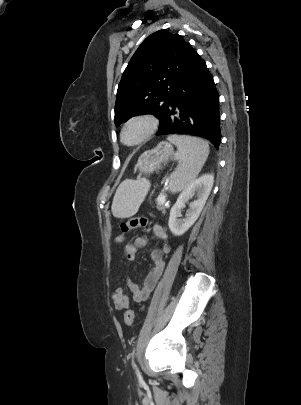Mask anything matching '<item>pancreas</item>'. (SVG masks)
<instances>
[{
    "label": "pancreas",
    "instance_id": "obj_1",
    "mask_svg": "<svg viewBox=\"0 0 301 405\" xmlns=\"http://www.w3.org/2000/svg\"><path fill=\"white\" fill-rule=\"evenodd\" d=\"M157 203H158L157 209H158V210H161L162 212H164V211H165L164 203H161V202H157Z\"/></svg>",
    "mask_w": 301,
    "mask_h": 405
}]
</instances>
